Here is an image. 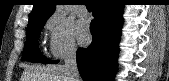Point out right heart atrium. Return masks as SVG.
Wrapping results in <instances>:
<instances>
[{"mask_svg": "<svg viewBox=\"0 0 169 81\" xmlns=\"http://www.w3.org/2000/svg\"><path fill=\"white\" fill-rule=\"evenodd\" d=\"M48 32V50L55 59L72 56L76 52V43L72 26L56 14L50 15L45 23Z\"/></svg>", "mask_w": 169, "mask_h": 81, "instance_id": "d8ad5b80", "label": "right heart atrium"}]
</instances>
